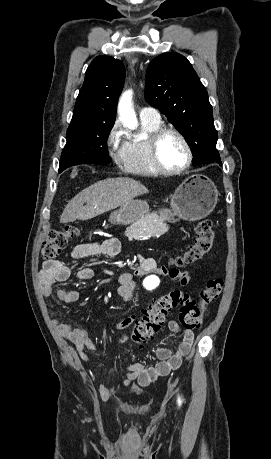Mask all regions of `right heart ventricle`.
<instances>
[{
    "label": "right heart ventricle",
    "mask_w": 271,
    "mask_h": 459,
    "mask_svg": "<svg viewBox=\"0 0 271 459\" xmlns=\"http://www.w3.org/2000/svg\"><path fill=\"white\" fill-rule=\"evenodd\" d=\"M142 121L144 136L136 137L127 142L123 156L122 168L129 173L139 175H157L161 171L155 166L151 158L150 137L160 127L159 123Z\"/></svg>",
    "instance_id": "1"
}]
</instances>
